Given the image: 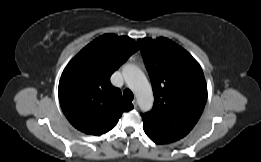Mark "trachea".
<instances>
[{
  "label": "trachea",
  "instance_id": "3493384b",
  "mask_svg": "<svg viewBox=\"0 0 261 162\" xmlns=\"http://www.w3.org/2000/svg\"><path fill=\"white\" fill-rule=\"evenodd\" d=\"M123 97L126 101H132L133 98H134V95L133 93L131 92V90L129 89H125L124 92H123Z\"/></svg>",
  "mask_w": 261,
  "mask_h": 162
}]
</instances>
